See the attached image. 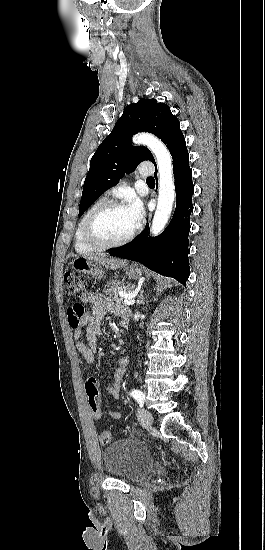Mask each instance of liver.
Wrapping results in <instances>:
<instances>
[{
    "instance_id": "6515ba94",
    "label": "liver",
    "mask_w": 265,
    "mask_h": 550,
    "mask_svg": "<svg viewBox=\"0 0 265 550\" xmlns=\"http://www.w3.org/2000/svg\"><path fill=\"white\" fill-rule=\"evenodd\" d=\"M85 258L93 259L97 261L100 265H103L107 268H110L112 270H116L120 267H123L126 265V261H122L119 259L109 258L105 254H95V255H88L85 256Z\"/></svg>"
}]
</instances>
